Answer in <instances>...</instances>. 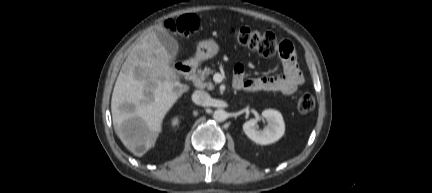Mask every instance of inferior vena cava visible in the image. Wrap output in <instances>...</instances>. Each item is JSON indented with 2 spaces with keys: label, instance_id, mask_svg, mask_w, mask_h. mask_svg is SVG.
I'll use <instances>...</instances> for the list:
<instances>
[{
  "label": "inferior vena cava",
  "instance_id": "602c4592",
  "mask_svg": "<svg viewBox=\"0 0 432 193\" xmlns=\"http://www.w3.org/2000/svg\"><path fill=\"white\" fill-rule=\"evenodd\" d=\"M192 100L197 105L207 106L210 102V95L203 90H196L192 95Z\"/></svg>",
  "mask_w": 432,
  "mask_h": 193
}]
</instances>
